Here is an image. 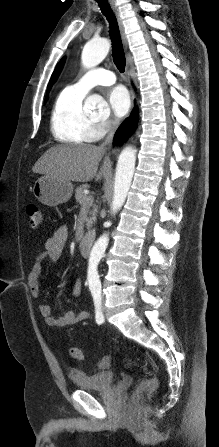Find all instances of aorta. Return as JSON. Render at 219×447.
<instances>
[{"label": "aorta", "instance_id": "1", "mask_svg": "<svg viewBox=\"0 0 219 447\" xmlns=\"http://www.w3.org/2000/svg\"><path fill=\"white\" fill-rule=\"evenodd\" d=\"M110 49V43L106 38L92 39L88 41L82 51L81 61L85 68H92L103 61ZM87 109L90 111H103L107 108V103L99 96L93 95L86 100ZM136 150L130 146L126 147L119 155L115 180L114 193L111 205V213L115 214L123 206L129 188L131 186L135 171ZM108 235L103 234L94 244L90 253V264H95L102 258L107 245ZM89 281L96 282L98 275L95 269L89 272Z\"/></svg>", "mask_w": 219, "mask_h": 447}]
</instances>
